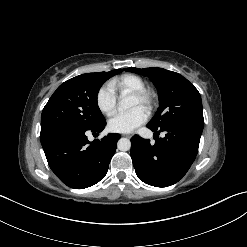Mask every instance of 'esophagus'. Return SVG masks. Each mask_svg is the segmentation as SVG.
Returning a JSON list of instances; mask_svg holds the SVG:
<instances>
[{"instance_id":"esophagus-1","label":"esophagus","mask_w":247,"mask_h":247,"mask_svg":"<svg viewBox=\"0 0 247 247\" xmlns=\"http://www.w3.org/2000/svg\"><path fill=\"white\" fill-rule=\"evenodd\" d=\"M123 136H125L127 138H131L132 137L130 134H123Z\"/></svg>"}]
</instances>
